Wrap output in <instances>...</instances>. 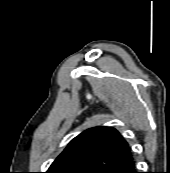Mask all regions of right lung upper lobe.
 Listing matches in <instances>:
<instances>
[{
  "label": "right lung upper lobe",
  "instance_id": "obj_1",
  "mask_svg": "<svg viewBox=\"0 0 170 173\" xmlns=\"http://www.w3.org/2000/svg\"><path fill=\"white\" fill-rule=\"evenodd\" d=\"M131 158L128 143L116 129L94 127L75 137L46 173H104Z\"/></svg>",
  "mask_w": 170,
  "mask_h": 173
}]
</instances>
